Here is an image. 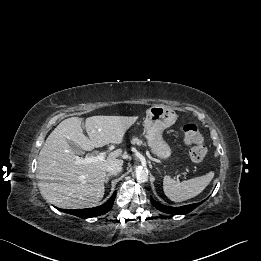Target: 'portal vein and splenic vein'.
<instances>
[{"label":"portal vein and splenic vein","instance_id":"1","mask_svg":"<svg viewBox=\"0 0 261 261\" xmlns=\"http://www.w3.org/2000/svg\"><path fill=\"white\" fill-rule=\"evenodd\" d=\"M98 160H100V161L104 160L103 153H99L96 157H88V156H86L85 158L77 157L76 164H87V163L95 162Z\"/></svg>","mask_w":261,"mask_h":261}]
</instances>
